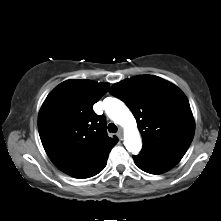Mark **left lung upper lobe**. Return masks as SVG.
<instances>
[{
  "label": "left lung upper lobe",
  "instance_id": "5c2ea615",
  "mask_svg": "<svg viewBox=\"0 0 221 221\" xmlns=\"http://www.w3.org/2000/svg\"><path fill=\"white\" fill-rule=\"evenodd\" d=\"M109 92L134 114L143 139L141 153H184L195 130L188 99L174 84L153 75H140L112 85Z\"/></svg>",
  "mask_w": 221,
  "mask_h": 221
}]
</instances>
